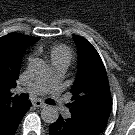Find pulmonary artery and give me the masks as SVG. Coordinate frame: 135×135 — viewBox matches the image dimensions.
Listing matches in <instances>:
<instances>
[{
	"label": "pulmonary artery",
	"instance_id": "pulmonary-artery-1",
	"mask_svg": "<svg viewBox=\"0 0 135 135\" xmlns=\"http://www.w3.org/2000/svg\"><path fill=\"white\" fill-rule=\"evenodd\" d=\"M66 70L67 66L65 65H53L52 75L47 81L41 83H31L27 85L24 89L31 95H40L46 92H53V99L57 102L60 100L59 85ZM22 90V88L17 89V91L19 92ZM64 115L66 117H69V113L66 110H64Z\"/></svg>",
	"mask_w": 135,
	"mask_h": 135
}]
</instances>
